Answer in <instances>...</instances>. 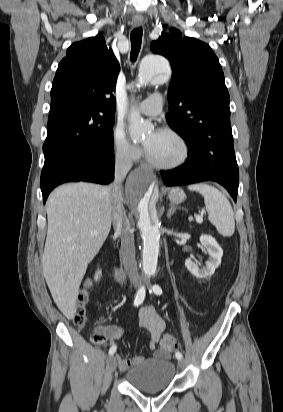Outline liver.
<instances>
[{
	"label": "liver",
	"instance_id": "1",
	"mask_svg": "<svg viewBox=\"0 0 283 412\" xmlns=\"http://www.w3.org/2000/svg\"><path fill=\"white\" fill-rule=\"evenodd\" d=\"M110 198V187L80 182L56 188L47 200L43 275L67 319L75 316L87 266L110 232Z\"/></svg>",
	"mask_w": 283,
	"mask_h": 412
}]
</instances>
